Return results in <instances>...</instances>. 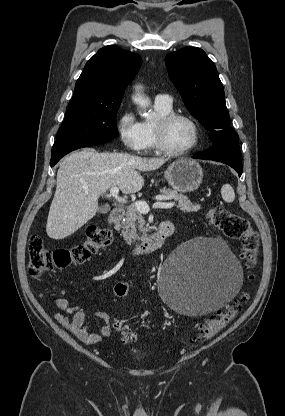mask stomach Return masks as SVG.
Listing matches in <instances>:
<instances>
[{
    "label": "stomach",
    "instance_id": "obj_1",
    "mask_svg": "<svg viewBox=\"0 0 285 416\" xmlns=\"http://www.w3.org/2000/svg\"><path fill=\"white\" fill-rule=\"evenodd\" d=\"M165 178L175 192L186 194L199 188L203 180V170L195 160L181 158L169 166Z\"/></svg>",
    "mask_w": 285,
    "mask_h": 416
}]
</instances>
